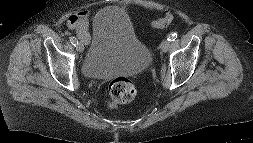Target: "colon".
I'll use <instances>...</instances> for the list:
<instances>
[{
	"label": "colon",
	"instance_id": "5ec220e1",
	"mask_svg": "<svg viewBox=\"0 0 253 143\" xmlns=\"http://www.w3.org/2000/svg\"><path fill=\"white\" fill-rule=\"evenodd\" d=\"M158 22L153 23L156 26ZM109 96L110 100L114 104L128 103L132 101L136 95V89L133 83L123 77L114 79L109 84Z\"/></svg>",
	"mask_w": 253,
	"mask_h": 143
}]
</instances>
